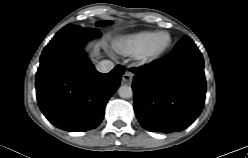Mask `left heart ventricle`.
<instances>
[{
	"label": "left heart ventricle",
	"instance_id": "left-heart-ventricle-1",
	"mask_svg": "<svg viewBox=\"0 0 248 158\" xmlns=\"http://www.w3.org/2000/svg\"><path fill=\"white\" fill-rule=\"evenodd\" d=\"M168 41V38L166 35H161L159 37H157V39L154 42V47L155 48H162L163 46L166 45Z\"/></svg>",
	"mask_w": 248,
	"mask_h": 158
}]
</instances>
